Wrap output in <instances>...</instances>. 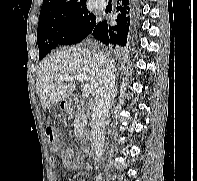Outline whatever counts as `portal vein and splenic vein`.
Wrapping results in <instances>:
<instances>
[{
  "label": "portal vein and splenic vein",
  "mask_w": 197,
  "mask_h": 181,
  "mask_svg": "<svg viewBox=\"0 0 197 181\" xmlns=\"http://www.w3.org/2000/svg\"><path fill=\"white\" fill-rule=\"evenodd\" d=\"M74 79H77L79 81H82V82H86V84L84 85V88H83V97L84 98H88L91 94V85L88 83L89 81V78L87 76V74L85 73H80V74H77V75H62L58 78L59 81H72Z\"/></svg>",
  "instance_id": "18ae733b"
}]
</instances>
